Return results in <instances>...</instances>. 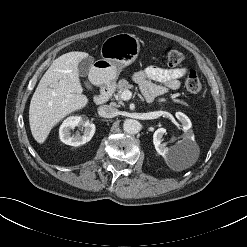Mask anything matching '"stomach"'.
Returning <instances> with one entry per match:
<instances>
[{"label":"stomach","instance_id":"0dacf381","mask_svg":"<svg viewBox=\"0 0 247 247\" xmlns=\"http://www.w3.org/2000/svg\"><path fill=\"white\" fill-rule=\"evenodd\" d=\"M140 52L139 39L129 33H119L105 39L101 46L102 59L94 65V76L100 83L117 79L123 67L133 63Z\"/></svg>","mask_w":247,"mask_h":247}]
</instances>
